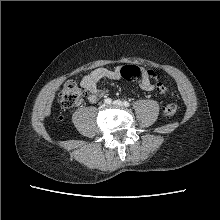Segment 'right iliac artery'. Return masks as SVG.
<instances>
[{"label":"right iliac artery","mask_w":220,"mask_h":220,"mask_svg":"<svg viewBox=\"0 0 220 220\" xmlns=\"http://www.w3.org/2000/svg\"><path fill=\"white\" fill-rule=\"evenodd\" d=\"M104 102H105L106 104H111L112 100H111L110 98H106V99L104 100Z\"/></svg>","instance_id":"1"}]
</instances>
